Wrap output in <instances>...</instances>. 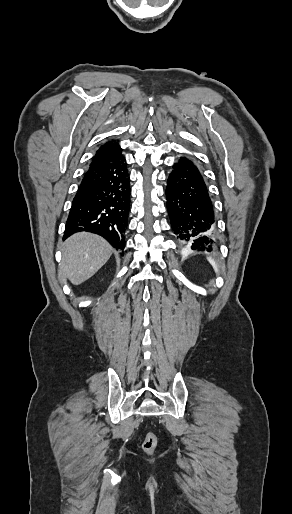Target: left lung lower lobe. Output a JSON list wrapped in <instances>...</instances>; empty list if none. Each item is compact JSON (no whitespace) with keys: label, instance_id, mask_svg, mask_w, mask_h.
I'll use <instances>...</instances> for the list:
<instances>
[{"label":"left lung lower lobe","instance_id":"1","mask_svg":"<svg viewBox=\"0 0 292 514\" xmlns=\"http://www.w3.org/2000/svg\"><path fill=\"white\" fill-rule=\"evenodd\" d=\"M166 187L167 211L178 241L191 249L212 251L216 245V219L203 176L196 163L180 157Z\"/></svg>","mask_w":292,"mask_h":514}]
</instances>
